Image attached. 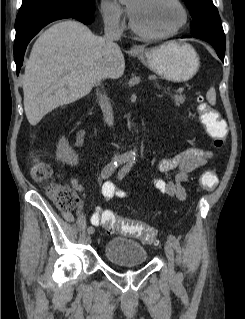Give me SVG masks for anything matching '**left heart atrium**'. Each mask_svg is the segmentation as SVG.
Listing matches in <instances>:
<instances>
[{
    "label": "left heart atrium",
    "instance_id": "39dd6f15",
    "mask_svg": "<svg viewBox=\"0 0 245 319\" xmlns=\"http://www.w3.org/2000/svg\"><path fill=\"white\" fill-rule=\"evenodd\" d=\"M135 2L136 0H130V3H129V13L131 16L133 15L135 10Z\"/></svg>",
    "mask_w": 245,
    "mask_h": 319
}]
</instances>
